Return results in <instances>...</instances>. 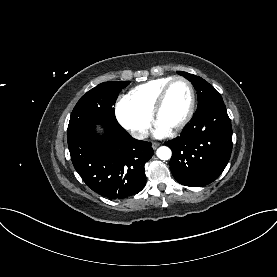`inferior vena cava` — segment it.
<instances>
[{
    "instance_id": "602c4592",
    "label": "inferior vena cava",
    "mask_w": 277,
    "mask_h": 277,
    "mask_svg": "<svg viewBox=\"0 0 277 277\" xmlns=\"http://www.w3.org/2000/svg\"><path fill=\"white\" fill-rule=\"evenodd\" d=\"M131 135L136 139H144L148 136V132L145 130H132Z\"/></svg>"
}]
</instances>
